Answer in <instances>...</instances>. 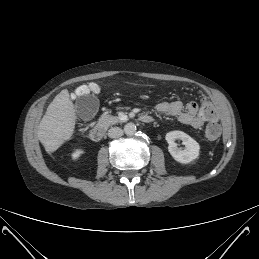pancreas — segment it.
<instances>
[{
	"mask_svg": "<svg viewBox=\"0 0 259 259\" xmlns=\"http://www.w3.org/2000/svg\"><path fill=\"white\" fill-rule=\"evenodd\" d=\"M119 122L120 119L118 117L109 114H103L98 120V126L107 128Z\"/></svg>",
	"mask_w": 259,
	"mask_h": 259,
	"instance_id": "1",
	"label": "pancreas"
}]
</instances>
